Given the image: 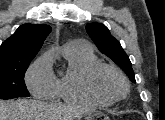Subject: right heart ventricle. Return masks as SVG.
<instances>
[{
  "label": "right heart ventricle",
  "mask_w": 165,
  "mask_h": 120,
  "mask_svg": "<svg viewBox=\"0 0 165 120\" xmlns=\"http://www.w3.org/2000/svg\"><path fill=\"white\" fill-rule=\"evenodd\" d=\"M65 71L56 78L54 99L68 104L107 105L92 98L85 89V77L92 66L99 63L89 48L65 47L62 52Z\"/></svg>",
  "instance_id": "right-heart-ventricle-1"
}]
</instances>
